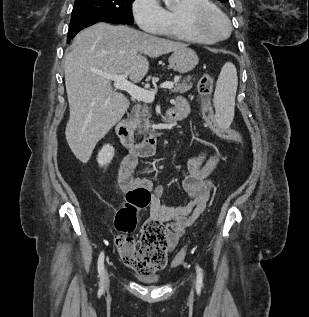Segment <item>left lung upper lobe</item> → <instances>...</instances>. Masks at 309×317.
I'll use <instances>...</instances> for the list:
<instances>
[{
	"label": "left lung upper lobe",
	"instance_id": "5c2ea615",
	"mask_svg": "<svg viewBox=\"0 0 309 317\" xmlns=\"http://www.w3.org/2000/svg\"><path fill=\"white\" fill-rule=\"evenodd\" d=\"M219 1H221V2H227L228 0H219Z\"/></svg>",
	"mask_w": 309,
	"mask_h": 317
}]
</instances>
